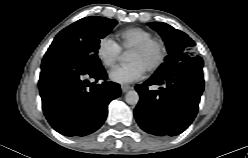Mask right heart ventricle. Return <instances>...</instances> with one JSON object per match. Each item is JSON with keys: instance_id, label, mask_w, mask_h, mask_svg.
Returning <instances> with one entry per match:
<instances>
[{"instance_id": "e07e8e85", "label": "right heart ventricle", "mask_w": 248, "mask_h": 158, "mask_svg": "<svg viewBox=\"0 0 248 158\" xmlns=\"http://www.w3.org/2000/svg\"><path fill=\"white\" fill-rule=\"evenodd\" d=\"M121 50H130L135 45L152 38V33L141 27L120 29L114 34Z\"/></svg>"}]
</instances>
